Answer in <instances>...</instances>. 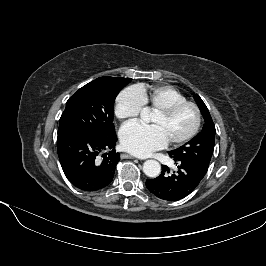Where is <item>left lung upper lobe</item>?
<instances>
[{
  "instance_id": "obj_1",
  "label": "left lung upper lobe",
  "mask_w": 266,
  "mask_h": 266,
  "mask_svg": "<svg viewBox=\"0 0 266 266\" xmlns=\"http://www.w3.org/2000/svg\"><path fill=\"white\" fill-rule=\"evenodd\" d=\"M194 99L205 119L203 129L192 140L170 151L169 155L204 176L213 154L216 130L208 108L202 99L197 94Z\"/></svg>"
}]
</instances>
